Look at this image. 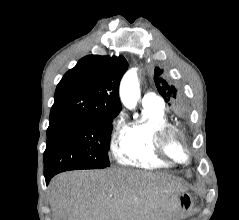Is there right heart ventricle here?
<instances>
[{"label":"right heart ventricle","mask_w":239,"mask_h":220,"mask_svg":"<svg viewBox=\"0 0 239 220\" xmlns=\"http://www.w3.org/2000/svg\"><path fill=\"white\" fill-rule=\"evenodd\" d=\"M166 125L164 108L143 105L141 119L128 125L127 134L116 149L118 162L145 169L169 167L171 163L162 158L155 147V135Z\"/></svg>","instance_id":"1"}]
</instances>
